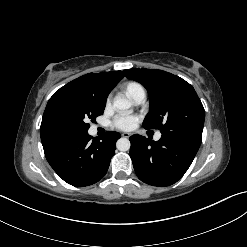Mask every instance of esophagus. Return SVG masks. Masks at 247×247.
Instances as JSON below:
<instances>
[{
	"instance_id": "esophagus-1",
	"label": "esophagus",
	"mask_w": 247,
	"mask_h": 247,
	"mask_svg": "<svg viewBox=\"0 0 247 247\" xmlns=\"http://www.w3.org/2000/svg\"><path fill=\"white\" fill-rule=\"evenodd\" d=\"M122 136H123V137H126V138H129V137H130V133L124 132V133H122Z\"/></svg>"
}]
</instances>
